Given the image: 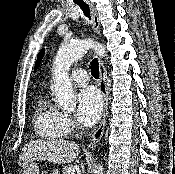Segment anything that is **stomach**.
<instances>
[{
  "mask_svg": "<svg viewBox=\"0 0 175 174\" xmlns=\"http://www.w3.org/2000/svg\"><path fill=\"white\" fill-rule=\"evenodd\" d=\"M54 173L59 174L56 170ZM21 174H39V166L36 162H29L23 165Z\"/></svg>",
  "mask_w": 175,
  "mask_h": 174,
  "instance_id": "stomach-1",
  "label": "stomach"
}]
</instances>
